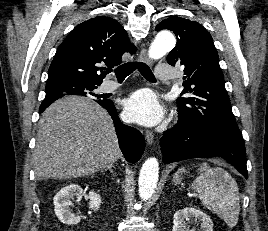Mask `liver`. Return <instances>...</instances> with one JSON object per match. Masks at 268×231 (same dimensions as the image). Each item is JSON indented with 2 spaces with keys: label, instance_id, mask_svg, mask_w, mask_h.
Returning a JSON list of instances; mask_svg holds the SVG:
<instances>
[{
  "label": "liver",
  "instance_id": "1",
  "mask_svg": "<svg viewBox=\"0 0 268 231\" xmlns=\"http://www.w3.org/2000/svg\"><path fill=\"white\" fill-rule=\"evenodd\" d=\"M38 125L33 152L37 180L88 176L122 156L110 115L91 99L61 98L43 112Z\"/></svg>",
  "mask_w": 268,
  "mask_h": 231
}]
</instances>
